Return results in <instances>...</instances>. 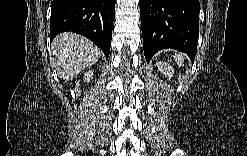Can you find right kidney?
I'll use <instances>...</instances> for the list:
<instances>
[{"mask_svg": "<svg viewBox=\"0 0 247 156\" xmlns=\"http://www.w3.org/2000/svg\"><path fill=\"white\" fill-rule=\"evenodd\" d=\"M93 76V71H88L87 73L84 74V80L89 83L90 82V79L92 78Z\"/></svg>", "mask_w": 247, "mask_h": 156, "instance_id": "right-kidney-1", "label": "right kidney"}]
</instances>
